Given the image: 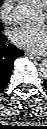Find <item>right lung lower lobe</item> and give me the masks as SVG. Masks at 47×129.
<instances>
[{
  "instance_id": "1",
  "label": "right lung lower lobe",
  "mask_w": 47,
  "mask_h": 129,
  "mask_svg": "<svg viewBox=\"0 0 47 129\" xmlns=\"http://www.w3.org/2000/svg\"><path fill=\"white\" fill-rule=\"evenodd\" d=\"M7 38L0 39V92L8 85L12 73L13 63L16 58L24 53L14 45H5Z\"/></svg>"
}]
</instances>
